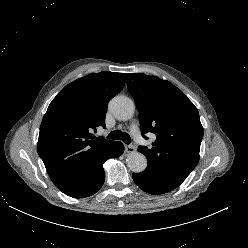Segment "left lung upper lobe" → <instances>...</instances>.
Listing matches in <instances>:
<instances>
[{
	"mask_svg": "<svg viewBox=\"0 0 248 248\" xmlns=\"http://www.w3.org/2000/svg\"><path fill=\"white\" fill-rule=\"evenodd\" d=\"M127 86L142 135H156L152 147L138 148L147 158L146 169L178 187L199 161L204 129L197 108L176 86L155 76L129 73Z\"/></svg>",
	"mask_w": 248,
	"mask_h": 248,
	"instance_id": "1",
	"label": "left lung upper lobe"
}]
</instances>
